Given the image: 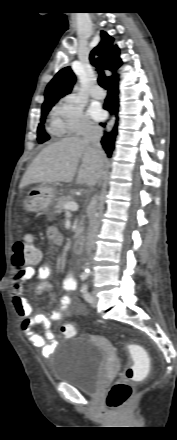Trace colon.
Wrapping results in <instances>:
<instances>
[{"instance_id":"obj_1","label":"colon","mask_w":177,"mask_h":440,"mask_svg":"<svg viewBox=\"0 0 177 440\" xmlns=\"http://www.w3.org/2000/svg\"><path fill=\"white\" fill-rule=\"evenodd\" d=\"M40 258V251L32 245L30 235L21 236L13 245L12 263L17 270H24L35 264ZM60 332L65 338L75 335V328L72 323L61 326ZM134 363L127 366L122 378L115 382L107 395V405L114 410L121 409L132 395V382L142 379L150 369L147 352L140 346L128 344Z\"/></svg>"}]
</instances>
